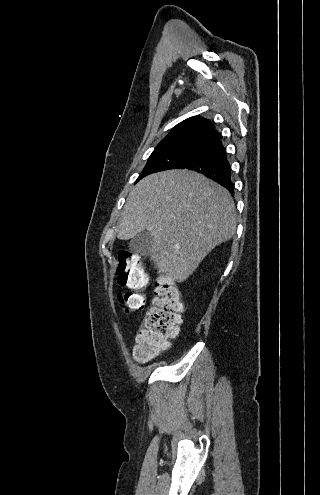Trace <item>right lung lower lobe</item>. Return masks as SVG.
Instances as JSON below:
<instances>
[{
	"instance_id": "1",
	"label": "right lung lower lobe",
	"mask_w": 320,
	"mask_h": 495,
	"mask_svg": "<svg viewBox=\"0 0 320 495\" xmlns=\"http://www.w3.org/2000/svg\"><path fill=\"white\" fill-rule=\"evenodd\" d=\"M177 169H190L216 181L234 195L227 153L218 135L214 136Z\"/></svg>"
}]
</instances>
